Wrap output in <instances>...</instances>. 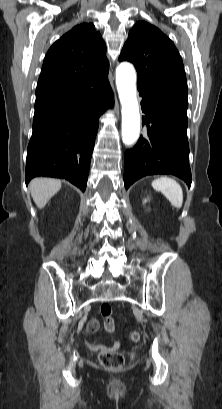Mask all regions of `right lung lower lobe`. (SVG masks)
Segmentation results:
<instances>
[{"label": "right lung lower lobe", "mask_w": 222, "mask_h": 409, "mask_svg": "<svg viewBox=\"0 0 222 409\" xmlns=\"http://www.w3.org/2000/svg\"><path fill=\"white\" fill-rule=\"evenodd\" d=\"M114 104L108 74L75 97L36 106L27 149L26 184L36 176L62 178L86 189L100 115Z\"/></svg>", "instance_id": "right-lung-lower-lobe-1"}]
</instances>
